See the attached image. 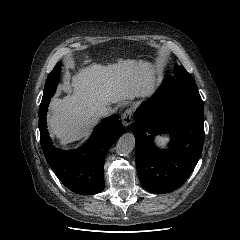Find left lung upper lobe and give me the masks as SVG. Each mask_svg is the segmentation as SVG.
I'll use <instances>...</instances> for the list:
<instances>
[{
    "mask_svg": "<svg viewBox=\"0 0 240 240\" xmlns=\"http://www.w3.org/2000/svg\"><path fill=\"white\" fill-rule=\"evenodd\" d=\"M174 77L184 81L195 82L193 77L185 70V68L182 65L175 66Z\"/></svg>",
    "mask_w": 240,
    "mask_h": 240,
    "instance_id": "obj_1",
    "label": "left lung upper lobe"
}]
</instances>
